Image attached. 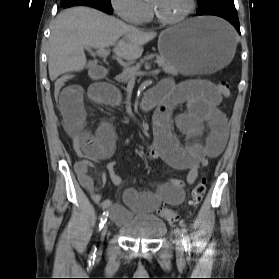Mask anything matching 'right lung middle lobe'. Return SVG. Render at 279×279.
Segmentation results:
<instances>
[{
  "label": "right lung middle lobe",
  "instance_id": "right-lung-middle-lobe-1",
  "mask_svg": "<svg viewBox=\"0 0 279 279\" xmlns=\"http://www.w3.org/2000/svg\"><path fill=\"white\" fill-rule=\"evenodd\" d=\"M98 2L107 7L108 9H112L110 0H98Z\"/></svg>",
  "mask_w": 279,
  "mask_h": 279
}]
</instances>
